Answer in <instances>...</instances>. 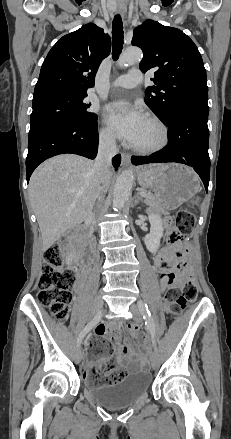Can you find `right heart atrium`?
<instances>
[{
    "label": "right heart atrium",
    "instance_id": "1",
    "mask_svg": "<svg viewBox=\"0 0 231 439\" xmlns=\"http://www.w3.org/2000/svg\"><path fill=\"white\" fill-rule=\"evenodd\" d=\"M99 139L102 145L111 147L115 144V137L112 133V131L104 126L99 131Z\"/></svg>",
    "mask_w": 231,
    "mask_h": 439
}]
</instances>
